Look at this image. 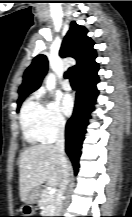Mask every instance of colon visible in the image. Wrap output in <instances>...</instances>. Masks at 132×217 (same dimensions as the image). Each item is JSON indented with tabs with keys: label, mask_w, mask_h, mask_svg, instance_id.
<instances>
[{
	"label": "colon",
	"mask_w": 132,
	"mask_h": 217,
	"mask_svg": "<svg viewBox=\"0 0 132 217\" xmlns=\"http://www.w3.org/2000/svg\"><path fill=\"white\" fill-rule=\"evenodd\" d=\"M20 217H34L31 208L26 207Z\"/></svg>",
	"instance_id": "1"
}]
</instances>
